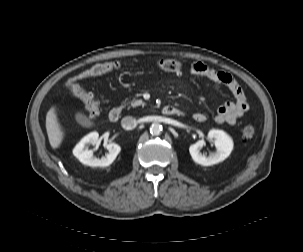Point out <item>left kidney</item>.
<instances>
[{"label": "left kidney", "mask_w": 303, "mask_h": 252, "mask_svg": "<svg viewBox=\"0 0 303 252\" xmlns=\"http://www.w3.org/2000/svg\"><path fill=\"white\" fill-rule=\"evenodd\" d=\"M208 138L214 139L216 147V152L209 157L202 155L200 152V148L204 145L203 140H199L189 147L192 159L203 166H211L224 161L233 149V140L222 130L211 129L208 132Z\"/></svg>", "instance_id": "5707ae66"}]
</instances>
